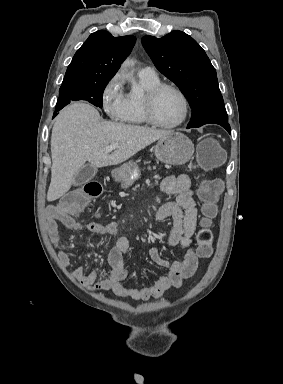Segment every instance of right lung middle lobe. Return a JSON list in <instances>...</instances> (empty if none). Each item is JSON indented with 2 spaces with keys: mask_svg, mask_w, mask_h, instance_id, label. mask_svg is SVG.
<instances>
[{
  "mask_svg": "<svg viewBox=\"0 0 283 384\" xmlns=\"http://www.w3.org/2000/svg\"><path fill=\"white\" fill-rule=\"evenodd\" d=\"M107 83L61 87L56 109H62L71 101L85 100L102 108V96Z\"/></svg>",
  "mask_w": 283,
  "mask_h": 384,
  "instance_id": "1",
  "label": "right lung middle lobe"
}]
</instances>
